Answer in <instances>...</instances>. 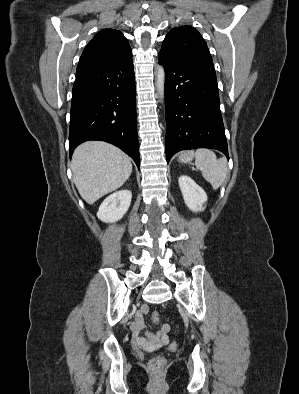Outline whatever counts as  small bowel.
<instances>
[{"label": "small bowel", "mask_w": 299, "mask_h": 394, "mask_svg": "<svg viewBox=\"0 0 299 394\" xmlns=\"http://www.w3.org/2000/svg\"><path fill=\"white\" fill-rule=\"evenodd\" d=\"M148 313V307L142 305L136 313V319L132 324L133 344L147 352H154L169 343L168 324L161 325L154 332L144 331L143 317Z\"/></svg>", "instance_id": "c3829d8e"}]
</instances>
